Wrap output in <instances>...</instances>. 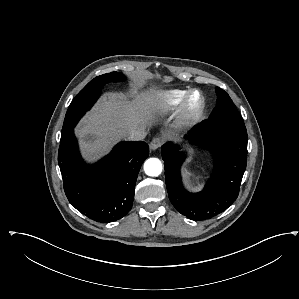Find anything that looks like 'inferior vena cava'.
Instances as JSON below:
<instances>
[{
  "label": "inferior vena cava",
  "instance_id": "obj_1",
  "mask_svg": "<svg viewBox=\"0 0 299 299\" xmlns=\"http://www.w3.org/2000/svg\"><path fill=\"white\" fill-rule=\"evenodd\" d=\"M146 134H147V131L144 126L136 125V126L130 128L127 138L129 140H134V141L142 140L145 138Z\"/></svg>",
  "mask_w": 299,
  "mask_h": 299
}]
</instances>
